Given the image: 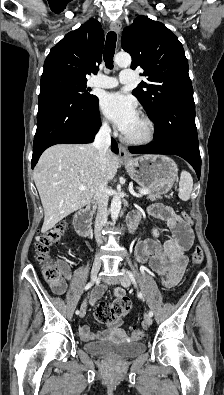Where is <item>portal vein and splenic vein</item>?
Instances as JSON below:
<instances>
[{"mask_svg": "<svg viewBox=\"0 0 224 395\" xmlns=\"http://www.w3.org/2000/svg\"><path fill=\"white\" fill-rule=\"evenodd\" d=\"M86 189V187L85 186H80L79 187V190H85ZM140 195H147V194H149V190H147V189H141V190H139V192H138Z\"/></svg>", "mask_w": 224, "mask_h": 395, "instance_id": "1", "label": "portal vein and splenic vein"}]
</instances>
